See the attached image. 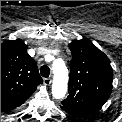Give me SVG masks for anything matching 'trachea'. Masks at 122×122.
Returning a JSON list of instances; mask_svg holds the SVG:
<instances>
[{
	"instance_id": "trachea-1",
	"label": "trachea",
	"mask_w": 122,
	"mask_h": 122,
	"mask_svg": "<svg viewBox=\"0 0 122 122\" xmlns=\"http://www.w3.org/2000/svg\"><path fill=\"white\" fill-rule=\"evenodd\" d=\"M41 76H43L44 78H48L49 74H50V68L46 65H43L41 67Z\"/></svg>"
}]
</instances>
